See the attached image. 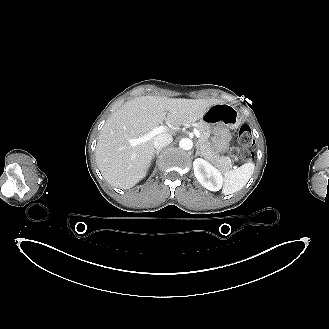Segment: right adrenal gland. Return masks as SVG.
Here are the masks:
<instances>
[{"label":"right adrenal gland","mask_w":329,"mask_h":329,"mask_svg":"<svg viewBox=\"0 0 329 329\" xmlns=\"http://www.w3.org/2000/svg\"><path fill=\"white\" fill-rule=\"evenodd\" d=\"M159 152H160V149H158V150H155V151H154V153H153V157L155 156V154H157V155H158V154H159Z\"/></svg>","instance_id":"right-adrenal-gland-1"}]
</instances>
